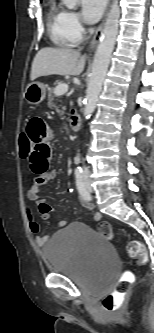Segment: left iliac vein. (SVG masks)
Returning <instances> with one entry per match:
<instances>
[{
    "label": "left iliac vein",
    "mask_w": 154,
    "mask_h": 333,
    "mask_svg": "<svg viewBox=\"0 0 154 333\" xmlns=\"http://www.w3.org/2000/svg\"><path fill=\"white\" fill-rule=\"evenodd\" d=\"M83 180H84V183H85L86 189H87L90 193H92V192H93V189H92V187L90 186V183H89L88 178H87L86 175L83 176Z\"/></svg>",
    "instance_id": "1"
}]
</instances>
